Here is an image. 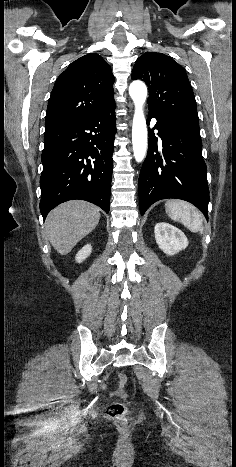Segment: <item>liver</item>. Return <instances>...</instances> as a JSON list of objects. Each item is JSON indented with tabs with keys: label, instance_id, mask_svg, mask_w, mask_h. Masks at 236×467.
<instances>
[{
	"label": "liver",
	"instance_id": "obj_1",
	"mask_svg": "<svg viewBox=\"0 0 236 467\" xmlns=\"http://www.w3.org/2000/svg\"><path fill=\"white\" fill-rule=\"evenodd\" d=\"M100 220V209L86 201L72 200L53 209L45 221V232L54 249L68 254Z\"/></svg>",
	"mask_w": 236,
	"mask_h": 467
}]
</instances>
